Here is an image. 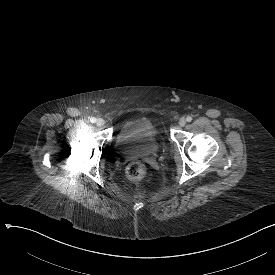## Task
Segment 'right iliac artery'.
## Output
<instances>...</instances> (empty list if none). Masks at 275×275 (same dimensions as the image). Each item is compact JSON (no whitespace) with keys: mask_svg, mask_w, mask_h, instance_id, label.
Segmentation results:
<instances>
[{"mask_svg":"<svg viewBox=\"0 0 275 275\" xmlns=\"http://www.w3.org/2000/svg\"><path fill=\"white\" fill-rule=\"evenodd\" d=\"M90 121H91L92 123H95V122H96V118H95V117H91Z\"/></svg>","mask_w":275,"mask_h":275,"instance_id":"82829eb1","label":"right iliac artery"}]
</instances>
